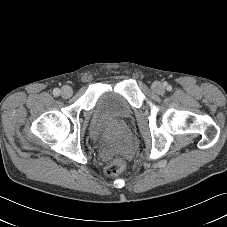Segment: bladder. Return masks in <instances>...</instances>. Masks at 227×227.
Listing matches in <instances>:
<instances>
[{
  "label": "bladder",
  "mask_w": 227,
  "mask_h": 227,
  "mask_svg": "<svg viewBox=\"0 0 227 227\" xmlns=\"http://www.w3.org/2000/svg\"><path fill=\"white\" fill-rule=\"evenodd\" d=\"M132 118L128 101L114 90L100 93L92 109L89 135L96 141H109Z\"/></svg>",
  "instance_id": "1"
}]
</instances>
